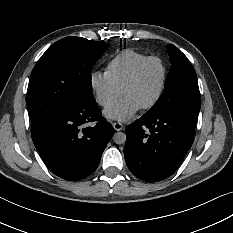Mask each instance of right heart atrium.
Segmentation results:
<instances>
[{
	"label": "right heart atrium",
	"instance_id": "right-heart-atrium-1",
	"mask_svg": "<svg viewBox=\"0 0 233 233\" xmlns=\"http://www.w3.org/2000/svg\"><path fill=\"white\" fill-rule=\"evenodd\" d=\"M89 85L96 102L104 108L112 106L120 96V90L112 84L104 73L99 71L91 72Z\"/></svg>",
	"mask_w": 233,
	"mask_h": 233
}]
</instances>
